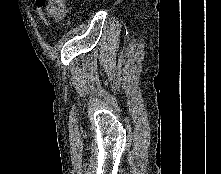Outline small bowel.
I'll return each instance as SVG.
<instances>
[{"label":"small bowel","instance_id":"c3829d8e","mask_svg":"<svg viewBox=\"0 0 221 174\" xmlns=\"http://www.w3.org/2000/svg\"><path fill=\"white\" fill-rule=\"evenodd\" d=\"M36 13H37L38 18H39L44 24H46L47 26H50V23H49V21L47 20L45 14H44L43 9H41V8L38 7L37 5H36Z\"/></svg>","mask_w":221,"mask_h":174}]
</instances>
